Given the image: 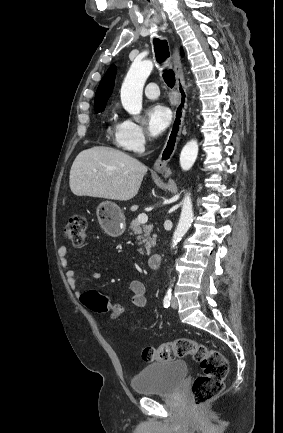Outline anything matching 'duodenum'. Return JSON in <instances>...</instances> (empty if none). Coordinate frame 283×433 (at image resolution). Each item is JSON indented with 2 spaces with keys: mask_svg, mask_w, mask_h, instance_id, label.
<instances>
[{
  "mask_svg": "<svg viewBox=\"0 0 283 433\" xmlns=\"http://www.w3.org/2000/svg\"><path fill=\"white\" fill-rule=\"evenodd\" d=\"M161 261H162V255L159 253H155L151 255L150 258L148 259V266L151 269H157L160 267Z\"/></svg>",
  "mask_w": 283,
  "mask_h": 433,
  "instance_id": "410a0bca",
  "label": "duodenum"
}]
</instances>
